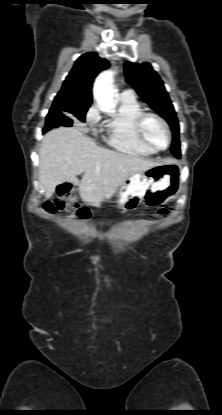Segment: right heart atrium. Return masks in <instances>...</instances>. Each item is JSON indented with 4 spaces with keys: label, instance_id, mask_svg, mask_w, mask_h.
<instances>
[{
    "label": "right heart atrium",
    "instance_id": "d8ad5b80",
    "mask_svg": "<svg viewBox=\"0 0 222 415\" xmlns=\"http://www.w3.org/2000/svg\"><path fill=\"white\" fill-rule=\"evenodd\" d=\"M85 122L91 128H95L101 119L99 109L96 105H92L85 113Z\"/></svg>",
    "mask_w": 222,
    "mask_h": 415
}]
</instances>
